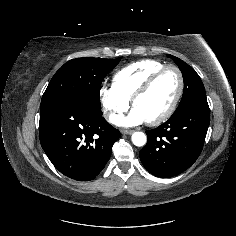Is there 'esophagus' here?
Instances as JSON below:
<instances>
[{
	"mask_svg": "<svg viewBox=\"0 0 236 236\" xmlns=\"http://www.w3.org/2000/svg\"><path fill=\"white\" fill-rule=\"evenodd\" d=\"M133 133V130H122V134L124 135H130Z\"/></svg>",
	"mask_w": 236,
	"mask_h": 236,
	"instance_id": "esophagus-1",
	"label": "esophagus"
}]
</instances>
